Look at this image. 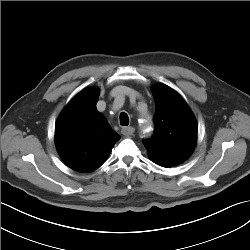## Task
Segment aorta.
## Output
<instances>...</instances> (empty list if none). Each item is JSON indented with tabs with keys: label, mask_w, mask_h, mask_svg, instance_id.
<instances>
[{
	"label": "aorta",
	"mask_w": 250,
	"mask_h": 250,
	"mask_svg": "<svg viewBox=\"0 0 250 250\" xmlns=\"http://www.w3.org/2000/svg\"><path fill=\"white\" fill-rule=\"evenodd\" d=\"M143 119V123H142V134H144V136L150 135V131H146L148 128H152V121H151V117L148 115L142 116Z\"/></svg>",
	"instance_id": "aorta-1"
}]
</instances>
